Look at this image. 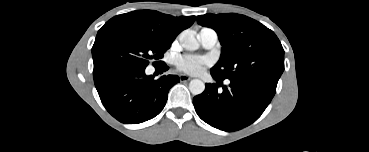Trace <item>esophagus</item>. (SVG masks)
Here are the masks:
<instances>
[{"label": "esophagus", "mask_w": 369, "mask_h": 152, "mask_svg": "<svg viewBox=\"0 0 369 152\" xmlns=\"http://www.w3.org/2000/svg\"><path fill=\"white\" fill-rule=\"evenodd\" d=\"M179 79H180L181 82H187V81L191 80V77H189L185 74H180Z\"/></svg>", "instance_id": "1"}]
</instances>
